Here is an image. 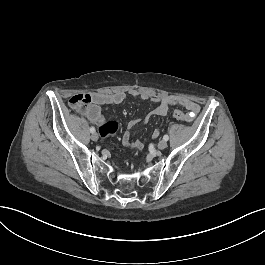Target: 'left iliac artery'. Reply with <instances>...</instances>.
<instances>
[{
	"mask_svg": "<svg viewBox=\"0 0 265 265\" xmlns=\"http://www.w3.org/2000/svg\"><path fill=\"white\" fill-rule=\"evenodd\" d=\"M163 139H164L165 141H167V140L169 139V136H168V135H164V136H163Z\"/></svg>",
	"mask_w": 265,
	"mask_h": 265,
	"instance_id": "44dca946",
	"label": "left iliac artery"
}]
</instances>
